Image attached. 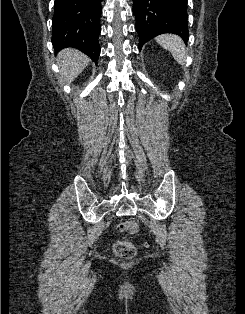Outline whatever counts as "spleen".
Instances as JSON below:
<instances>
[{
	"label": "spleen",
	"mask_w": 245,
	"mask_h": 314,
	"mask_svg": "<svg viewBox=\"0 0 245 314\" xmlns=\"http://www.w3.org/2000/svg\"><path fill=\"white\" fill-rule=\"evenodd\" d=\"M156 41L164 49L170 51L179 64L185 65L187 52L185 44L180 37L172 34H165L156 37Z\"/></svg>",
	"instance_id": "spleen-1"
}]
</instances>
